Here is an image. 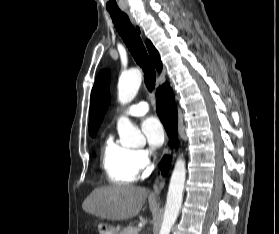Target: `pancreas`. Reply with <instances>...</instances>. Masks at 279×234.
<instances>
[{
	"mask_svg": "<svg viewBox=\"0 0 279 234\" xmlns=\"http://www.w3.org/2000/svg\"><path fill=\"white\" fill-rule=\"evenodd\" d=\"M137 228L132 225H129L122 229L119 234H137Z\"/></svg>",
	"mask_w": 279,
	"mask_h": 234,
	"instance_id": "obj_1",
	"label": "pancreas"
}]
</instances>
